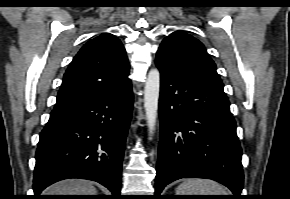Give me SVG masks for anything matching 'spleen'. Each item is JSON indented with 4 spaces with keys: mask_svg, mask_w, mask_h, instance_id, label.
I'll use <instances>...</instances> for the list:
<instances>
[{
    "mask_svg": "<svg viewBox=\"0 0 290 199\" xmlns=\"http://www.w3.org/2000/svg\"><path fill=\"white\" fill-rule=\"evenodd\" d=\"M219 183L206 179H188L176 188V195H228Z\"/></svg>",
    "mask_w": 290,
    "mask_h": 199,
    "instance_id": "1",
    "label": "spleen"
}]
</instances>
